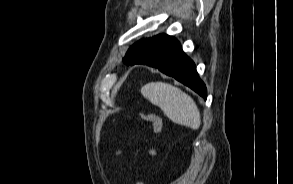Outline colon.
<instances>
[{"label": "colon", "mask_w": 293, "mask_h": 184, "mask_svg": "<svg viewBox=\"0 0 293 184\" xmlns=\"http://www.w3.org/2000/svg\"><path fill=\"white\" fill-rule=\"evenodd\" d=\"M137 116L143 121H147V122L152 123L154 134H159L161 132L163 124H162V120L159 116H157L155 114H147V113H143V112H138ZM154 153H155V149L152 146L149 150V154L154 155ZM134 184H144V183L136 180V181H134Z\"/></svg>", "instance_id": "obj_1"}]
</instances>
